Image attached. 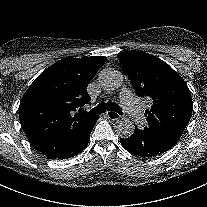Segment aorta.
I'll list each match as a JSON object with an SVG mask.
<instances>
[{"instance_id": "762f6f07", "label": "aorta", "mask_w": 207, "mask_h": 207, "mask_svg": "<svg viewBox=\"0 0 207 207\" xmlns=\"http://www.w3.org/2000/svg\"><path fill=\"white\" fill-rule=\"evenodd\" d=\"M98 79L101 87L106 91L120 88L123 82L122 74L113 68H105L100 71ZM114 129L120 138L125 139L133 134L135 127L129 119L123 117L115 122Z\"/></svg>"}]
</instances>
